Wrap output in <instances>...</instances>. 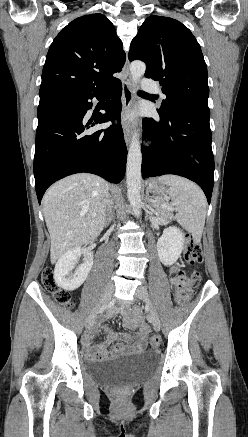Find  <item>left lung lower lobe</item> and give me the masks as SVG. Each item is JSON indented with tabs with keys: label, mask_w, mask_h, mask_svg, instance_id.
<instances>
[{
	"label": "left lung lower lobe",
	"mask_w": 248,
	"mask_h": 437,
	"mask_svg": "<svg viewBox=\"0 0 248 437\" xmlns=\"http://www.w3.org/2000/svg\"><path fill=\"white\" fill-rule=\"evenodd\" d=\"M160 121L144 118V137L154 143L142 147V176L175 174L196 182L208 203L213 190L214 157L209 125L210 110L204 107H178Z\"/></svg>",
	"instance_id": "left-lung-lower-lobe-1"
}]
</instances>
